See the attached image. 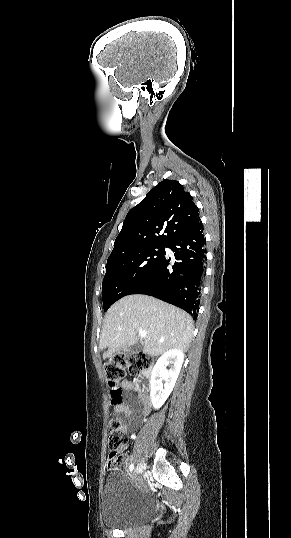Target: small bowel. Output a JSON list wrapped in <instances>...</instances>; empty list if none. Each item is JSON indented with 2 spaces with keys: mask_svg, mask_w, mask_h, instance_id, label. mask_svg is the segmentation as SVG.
<instances>
[{
  "mask_svg": "<svg viewBox=\"0 0 291 538\" xmlns=\"http://www.w3.org/2000/svg\"><path fill=\"white\" fill-rule=\"evenodd\" d=\"M139 387L140 382L124 380L122 382L124 392L122 393L121 400L113 408L116 416H122L133 427L138 426L140 418L145 416L150 410L149 398L145 393L138 391ZM128 392H134L136 396L132 397ZM119 462L120 464L127 465L128 456L126 454L119 455Z\"/></svg>",
  "mask_w": 291,
  "mask_h": 538,
  "instance_id": "c3829d8e",
  "label": "small bowel"
}]
</instances>
